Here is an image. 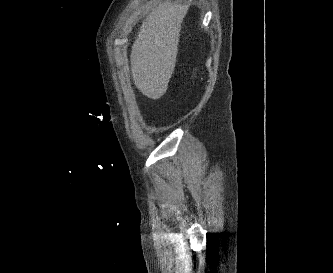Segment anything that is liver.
I'll use <instances>...</instances> for the list:
<instances>
[{
	"instance_id": "6515ba94",
	"label": "liver",
	"mask_w": 333,
	"mask_h": 273,
	"mask_svg": "<svg viewBox=\"0 0 333 273\" xmlns=\"http://www.w3.org/2000/svg\"><path fill=\"white\" fill-rule=\"evenodd\" d=\"M186 5L160 3L142 22L132 45L130 62L135 86L150 99L161 98L174 72Z\"/></svg>"
}]
</instances>
